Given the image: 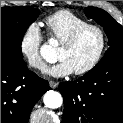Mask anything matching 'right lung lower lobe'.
<instances>
[{"label":"right lung lower lobe","mask_w":123,"mask_h":123,"mask_svg":"<svg viewBox=\"0 0 123 123\" xmlns=\"http://www.w3.org/2000/svg\"><path fill=\"white\" fill-rule=\"evenodd\" d=\"M48 81L28 70L23 58L1 53V123H28Z\"/></svg>","instance_id":"right-lung-lower-lobe-1"}]
</instances>
